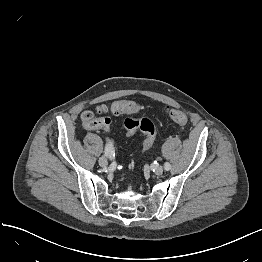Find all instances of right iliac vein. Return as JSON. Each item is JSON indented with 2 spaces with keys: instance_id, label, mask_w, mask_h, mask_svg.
<instances>
[{
  "instance_id": "right-iliac-vein-1",
  "label": "right iliac vein",
  "mask_w": 262,
  "mask_h": 262,
  "mask_svg": "<svg viewBox=\"0 0 262 262\" xmlns=\"http://www.w3.org/2000/svg\"><path fill=\"white\" fill-rule=\"evenodd\" d=\"M98 162L101 167H106L108 165V161L104 156H101Z\"/></svg>"
}]
</instances>
